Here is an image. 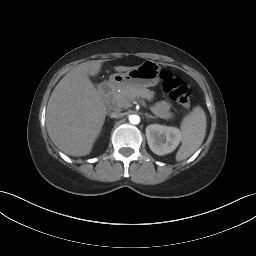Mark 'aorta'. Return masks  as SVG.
<instances>
[{
	"mask_svg": "<svg viewBox=\"0 0 256 256\" xmlns=\"http://www.w3.org/2000/svg\"><path fill=\"white\" fill-rule=\"evenodd\" d=\"M129 121L131 124L135 125V124H139L140 122V117L138 115H130L129 116Z\"/></svg>",
	"mask_w": 256,
	"mask_h": 256,
	"instance_id": "762f6f07",
	"label": "aorta"
}]
</instances>
